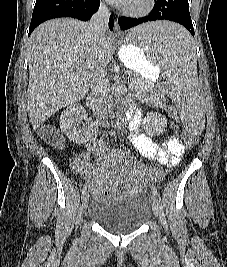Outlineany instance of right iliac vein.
Masks as SVG:
<instances>
[{
    "label": "right iliac vein",
    "instance_id": "right-iliac-vein-1",
    "mask_svg": "<svg viewBox=\"0 0 227 267\" xmlns=\"http://www.w3.org/2000/svg\"><path fill=\"white\" fill-rule=\"evenodd\" d=\"M88 195L87 194H84L83 198H82V210L83 212L86 211L87 209V206H88Z\"/></svg>",
    "mask_w": 227,
    "mask_h": 267
}]
</instances>
